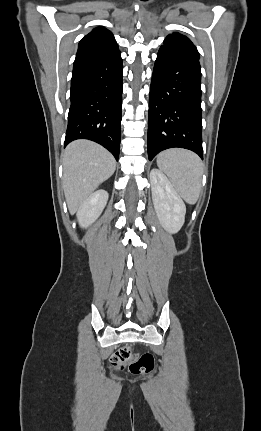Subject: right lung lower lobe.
I'll list each match as a JSON object with an SVG mask.
<instances>
[{
	"instance_id": "98d812e1",
	"label": "right lung lower lobe",
	"mask_w": 261,
	"mask_h": 431,
	"mask_svg": "<svg viewBox=\"0 0 261 431\" xmlns=\"http://www.w3.org/2000/svg\"><path fill=\"white\" fill-rule=\"evenodd\" d=\"M122 59L119 50L77 54L71 79L65 146L89 139L118 160L121 139Z\"/></svg>"
}]
</instances>
